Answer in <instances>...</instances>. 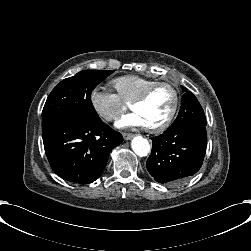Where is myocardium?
<instances>
[{
    "instance_id": "f54148a6",
    "label": "myocardium",
    "mask_w": 251,
    "mask_h": 251,
    "mask_svg": "<svg viewBox=\"0 0 251 251\" xmlns=\"http://www.w3.org/2000/svg\"><path fill=\"white\" fill-rule=\"evenodd\" d=\"M162 85H167L173 89L174 95H175V101H174V105H173L172 110L170 111V113L168 114V116L166 117V119L164 121H162L161 123L155 124V125L146 126V128L152 132H159V131H163V130L167 129L171 125L172 121L174 120V118L179 110L180 102H181V92H180L178 85L173 82H169V81H155L152 84H150L136 99H134L131 102L132 107L135 104H141V103L146 102L150 98L152 93L159 86H162Z\"/></svg>"
}]
</instances>
